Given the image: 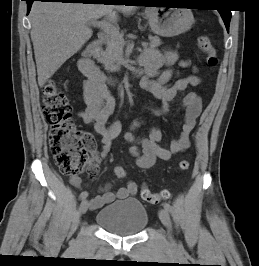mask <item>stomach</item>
<instances>
[{
    "mask_svg": "<svg viewBox=\"0 0 259 266\" xmlns=\"http://www.w3.org/2000/svg\"><path fill=\"white\" fill-rule=\"evenodd\" d=\"M154 34L172 37L187 32L194 24V16L187 8H150L146 11Z\"/></svg>",
    "mask_w": 259,
    "mask_h": 266,
    "instance_id": "stomach-1",
    "label": "stomach"
}]
</instances>
